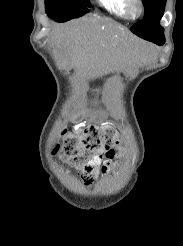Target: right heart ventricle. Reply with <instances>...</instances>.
Segmentation results:
<instances>
[{
	"instance_id": "e07e8e85",
	"label": "right heart ventricle",
	"mask_w": 183,
	"mask_h": 246,
	"mask_svg": "<svg viewBox=\"0 0 183 246\" xmlns=\"http://www.w3.org/2000/svg\"><path fill=\"white\" fill-rule=\"evenodd\" d=\"M97 2L111 14L123 19L128 18L125 10V0H97Z\"/></svg>"
}]
</instances>
